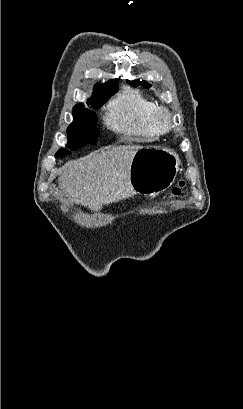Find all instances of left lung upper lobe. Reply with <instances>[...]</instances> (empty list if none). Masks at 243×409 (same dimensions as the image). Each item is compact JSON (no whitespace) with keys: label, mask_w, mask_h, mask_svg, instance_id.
I'll use <instances>...</instances> for the list:
<instances>
[{"label":"left lung upper lobe","mask_w":243,"mask_h":409,"mask_svg":"<svg viewBox=\"0 0 243 409\" xmlns=\"http://www.w3.org/2000/svg\"><path fill=\"white\" fill-rule=\"evenodd\" d=\"M128 83L134 87L138 86L139 84H143L146 87H151V85L146 81H140V80L129 81L128 80Z\"/></svg>","instance_id":"5c2ea615"}]
</instances>
